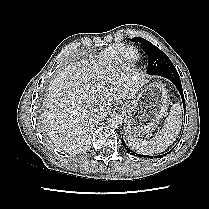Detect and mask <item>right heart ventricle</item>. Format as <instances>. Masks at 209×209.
Returning <instances> with one entry per match:
<instances>
[{"label":"right heart ventricle","mask_w":209,"mask_h":209,"mask_svg":"<svg viewBox=\"0 0 209 209\" xmlns=\"http://www.w3.org/2000/svg\"><path fill=\"white\" fill-rule=\"evenodd\" d=\"M123 48V45L116 44L112 45L105 50H103L97 57V64L99 66H108L118 59V56ZM138 58L137 53L131 58V62H135Z\"/></svg>","instance_id":"1"}]
</instances>
